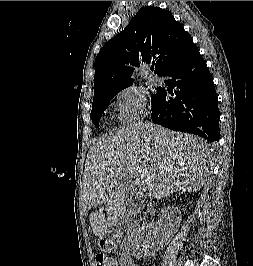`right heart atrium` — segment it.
I'll return each mask as SVG.
<instances>
[{
	"instance_id": "d8ad5b80",
	"label": "right heart atrium",
	"mask_w": 253,
	"mask_h": 266,
	"mask_svg": "<svg viewBox=\"0 0 253 266\" xmlns=\"http://www.w3.org/2000/svg\"><path fill=\"white\" fill-rule=\"evenodd\" d=\"M117 107L119 119L130 123L140 119L147 111V98L145 92L138 86L129 85L117 94Z\"/></svg>"
}]
</instances>
